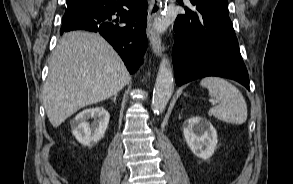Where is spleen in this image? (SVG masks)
<instances>
[{"label": "spleen", "instance_id": "1", "mask_svg": "<svg viewBox=\"0 0 293 184\" xmlns=\"http://www.w3.org/2000/svg\"><path fill=\"white\" fill-rule=\"evenodd\" d=\"M200 85L206 87L209 96L220 101L209 110V115L226 123L241 125L247 120V104L237 87L221 77H206Z\"/></svg>", "mask_w": 293, "mask_h": 184}]
</instances>
